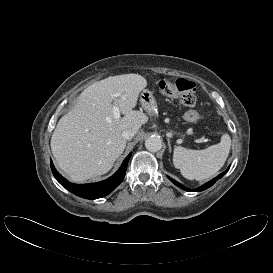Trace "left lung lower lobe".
<instances>
[{
    "label": "left lung lower lobe",
    "mask_w": 273,
    "mask_h": 273,
    "mask_svg": "<svg viewBox=\"0 0 273 273\" xmlns=\"http://www.w3.org/2000/svg\"><path fill=\"white\" fill-rule=\"evenodd\" d=\"M228 170H229V168H227V170L224 171L223 173L219 174L218 177L212 179L211 181L207 182L206 184H204V185L198 187V188L195 189V190H191V191H198V192H199V191H203V190H205V189L211 187L219 178L223 177V176L227 173ZM168 178H169L176 186L181 187L182 189H185V190H189V189H186L184 186H182V185H181L180 183H178L177 181H175L174 179L170 178L169 176H168Z\"/></svg>",
    "instance_id": "left-lung-lower-lobe-1"
}]
</instances>
